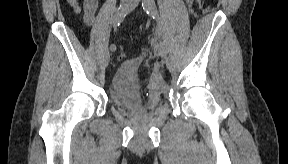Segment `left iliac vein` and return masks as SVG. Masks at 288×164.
I'll use <instances>...</instances> for the list:
<instances>
[{
  "label": "left iliac vein",
  "instance_id": "1",
  "mask_svg": "<svg viewBox=\"0 0 288 164\" xmlns=\"http://www.w3.org/2000/svg\"><path fill=\"white\" fill-rule=\"evenodd\" d=\"M160 54L162 58V62L164 63L166 61V48L165 46H160Z\"/></svg>",
  "mask_w": 288,
  "mask_h": 164
}]
</instances>
